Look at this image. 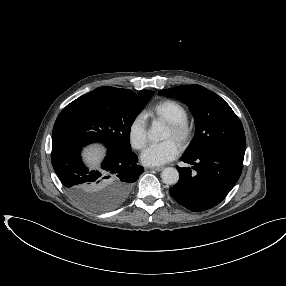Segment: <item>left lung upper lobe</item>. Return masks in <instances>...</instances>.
I'll return each mask as SVG.
<instances>
[{
    "mask_svg": "<svg viewBox=\"0 0 286 286\" xmlns=\"http://www.w3.org/2000/svg\"><path fill=\"white\" fill-rule=\"evenodd\" d=\"M158 94L186 103L194 116L196 133L185 155L214 149L245 153L242 123L220 96L197 84L161 90Z\"/></svg>",
    "mask_w": 286,
    "mask_h": 286,
    "instance_id": "left-lung-upper-lobe-1",
    "label": "left lung upper lobe"
}]
</instances>
